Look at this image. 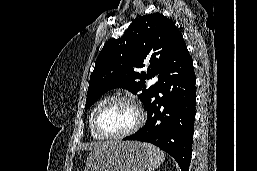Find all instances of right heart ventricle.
Returning <instances> with one entry per match:
<instances>
[{"instance_id":"obj_1","label":"right heart ventricle","mask_w":257,"mask_h":171,"mask_svg":"<svg viewBox=\"0 0 257 171\" xmlns=\"http://www.w3.org/2000/svg\"><path fill=\"white\" fill-rule=\"evenodd\" d=\"M106 99H103L101 101H99L95 106L94 108L92 109L90 115H89V129H90V132H91V135L93 138L95 139H103L102 137H100L99 135H97L93 129V117H94V114L96 112V110L98 109V107L105 101Z\"/></svg>"}]
</instances>
